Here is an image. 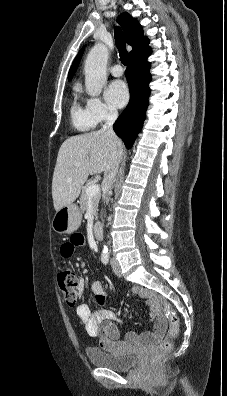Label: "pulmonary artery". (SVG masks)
<instances>
[{"mask_svg": "<svg viewBox=\"0 0 227 396\" xmlns=\"http://www.w3.org/2000/svg\"><path fill=\"white\" fill-rule=\"evenodd\" d=\"M110 72L113 76L119 77L123 74V69L120 65H114L111 67Z\"/></svg>", "mask_w": 227, "mask_h": 396, "instance_id": "1", "label": "pulmonary artery"}]
</instances>
